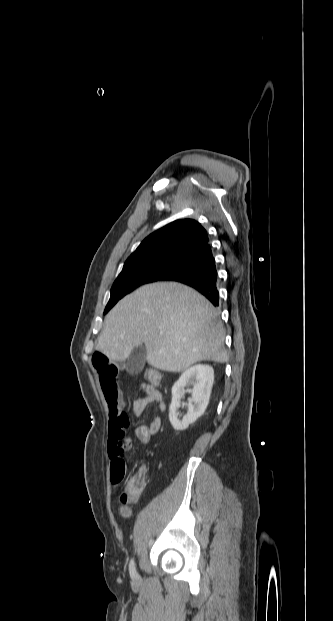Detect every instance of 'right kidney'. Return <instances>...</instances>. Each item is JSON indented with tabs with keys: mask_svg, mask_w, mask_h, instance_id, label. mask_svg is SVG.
Masks as SVG:
<instances>
[{
	"mask_svg": "<svg viewBox=\"0 0 333 621\" xmlns=\"http://www.w3.org/2000/svg\"><path fill=\"white\" fill-rule=\"evenodd\" d=\"M213 382L214 370L209 365L198 364L182 373L172 388L169 408V420L175 430H185L204 413L209 403ZM189 385H193V388L188 390L192 394V400L188 404L187 414L181 416L178 409L186 392L185 387Z\"/></svg>",
	"mask_w": 333,
	"mask_h": 621,
	"instance_id": "obj_1",
	"label": "right kidney"
}]
</instances>
